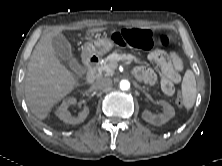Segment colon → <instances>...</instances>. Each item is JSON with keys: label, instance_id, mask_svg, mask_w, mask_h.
Instances as JSON below:
<instances>
[{"label": "colon", "instance_id": "colon-1", "mask_svg": "<svg viewBox=\"0 0 222 166\" xmlns=\"http://www.w3.org/2000/svg\"><path fill=\"white\" fill-rule=\"evenodd\" d=\"M114 43L120 46L134 47L138 49L148 50L153 46V37L151 31L147 29L128 28L122 29L112 35ZM159 43L164 46H170L172 39L167 34H162L158 39ZM176 104L182 106L181 96H177Z\"/></svg>", "mask_w": 222, "mask_h": 166}]
</instances>
